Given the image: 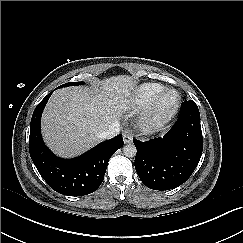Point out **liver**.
Listing matches in <instances>:
<instances>
[{
  "label": "liver",
  "mask_w": 243,
  "mask_h": 243,
  "mask_svg": "<svg viewBox=\"0 0 243 243\" xmlns=\"http://www.w3.org/2000/svg\"><path fill=\"white\" fill-rule=\"evenodd\" d=\"M134 79L117 75L98 82L94 90L68 87L56 90L41 121L44 141L57 155L78 156L97 145L130 102Z\"/></svg>",
  "instance_id": "1"
}]
</instances>
